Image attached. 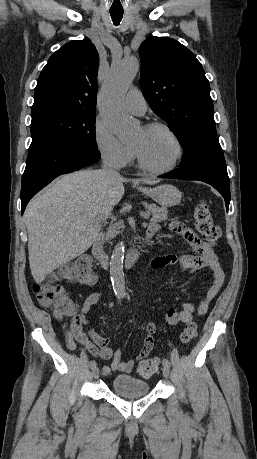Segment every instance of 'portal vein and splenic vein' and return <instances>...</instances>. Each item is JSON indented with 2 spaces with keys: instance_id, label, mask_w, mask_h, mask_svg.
I'll list each match as a JSON object with an SVG mask.
<instances>
[{
  "instance_id": "obj_1",
  "label": "portal vein and splenic vein",
  "mask_w": 257,
  "mask_h": 459,
  "mask_svg": "<svg viewBox=\"0 0 257 459\" xmlns=\"http://www.w3.org/2000/svg\"><path fill=\"white\" fill-rule=\"evenodd\" d=\"M140 215H141L144 219H149V215H148V213H146V212H141Z\"/></svg>"
}]
</instances>
